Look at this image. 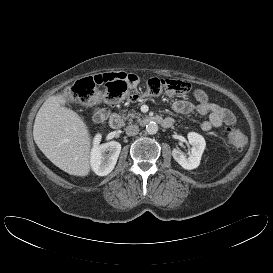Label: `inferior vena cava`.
Wrapping results in <instances>:
<instances>
[{
	"instance_id": "602c4592",
	"label": "inferior vena cava",
	"mask_w": 273,
	"mask_h": 273,
	"mask_svg": "<svg viewBox=\"0 0 273 273\" xmlns=\"http://www.w3.org/2000/svg\"><path fill=\"white\" fill-rule=\"evenodd\" d=\"M139 133V127L137 125H129L126 127V134L129 136H135Z\"/></svg>"
}]
</instances>
